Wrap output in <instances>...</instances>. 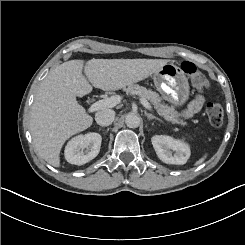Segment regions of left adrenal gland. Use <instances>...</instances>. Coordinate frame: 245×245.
<instances>
[{
  "mask_svg": "<svg viewBox=\"0 0 245 245\" xmlns=\"http://www.w3.org/2000/svg\"><path fill=\"white\" fill-rule=\"evenodd\" d=\"M144 114L147 116V118L149 120L151 119H157V120H161L159 117H156L155 115L151 114V113H148L147 111H144Z\"/></svg>",
  "mask_w": 245,
  "mask_h": 245,
  "instance_id": "a2214340",
  "label": "left adrenal gland"
}]
</instances>
